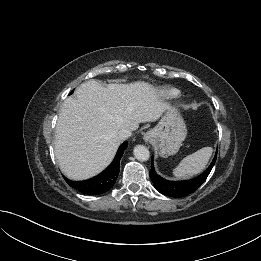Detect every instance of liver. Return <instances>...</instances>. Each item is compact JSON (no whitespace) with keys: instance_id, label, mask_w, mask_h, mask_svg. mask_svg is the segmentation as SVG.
I'll return each mask as SVG.
<instances>
[{"instance_id":"obj_1","label":"liver","mask_w":261,"mask_h":261,"mask_svg":"<svg viewBox=\"0 0 261 261\" xmlns=\"http://www.w3.org/2000/svg\"><path fill=\"white\" fill-rule=\"evenodd\" d=\"M169 108L148 82L108 87L93 79L82 83L63 102L55 129L54 150L62 172L73 180L97 175L111 163L121 129L134 131Z\"/></svg>"}]
</instances>
